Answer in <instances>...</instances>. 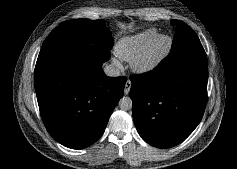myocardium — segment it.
<instances>
[{"mask_svg": "<svg viewBox=\"0 0 237 169\" xmlns=\"http://www.w3.org/2000/svg\"><path fill=\"white\" fill-rule=\"evenodd\" d=\"M167 40L166 48L157 56L150 57V52L154 45L160 39ZM173 45V40L169 34H158L132 61L131 67L137 73H146L156 68L170 54Z\"/></svg>", "mask_w": 237, "mask_h": 169, "instance_id": "1", "label": "myocardium"}]
</instances>
